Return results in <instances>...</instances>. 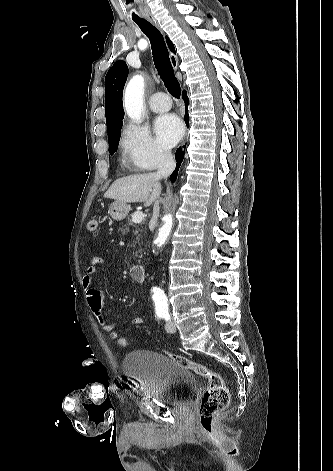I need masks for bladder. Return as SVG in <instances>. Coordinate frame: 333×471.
Instances as JSON below:
<instances>
[{"instance_id":"1","label":"bladder","mask_w":333,"mask_h":471,"mask_svg":"<svg viewBox=\"0 0 333 471\" xmlns=\"http://www.w3.org/2000/svg\"><path fill=\"white\" fill-rule=\"evenodd\" d=\"M123 374L138 384L136 392L166 405H180L195 392L194 375L171 358L152 350L128 353L122 363Z\"/></svg>"}]
</instances>
